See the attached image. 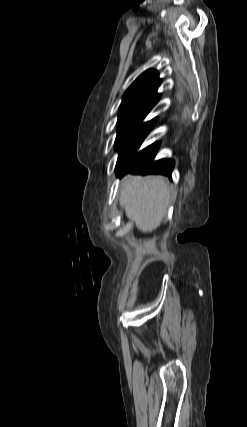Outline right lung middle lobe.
Masks as SVG:
<instances>
[{"mask_svg": "<svg viewBox=\"0 0 247 427\" xmlns=\"http://www.w3.org/2000/svg\"><path fill=\"white\" fill-rule=\"evenodd\" d=\"M147 114L144 113H124L119 114L117 123V137L115 149H119L134 129L142 122Z\"/></svg>", "mask_w": 247, "mask_h": 427, "instance_id": "right-lung-middle-lobe-1", "label": "right lung middle lobe"}]
</instances>
